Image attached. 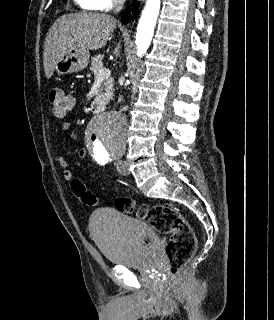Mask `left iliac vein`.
Masks as SVG:
<instances>
[{"mask_svg":"<svg viewBox=\"0 0 274 320\" xmlns=\"http://www.w3.org/2000/svg\"><path fill=\"white\" fill-rule=\"evenodd\" d=\"M115 165H116L117 171L121 175H124V176L129 175V171H128L127 164L125 161H118L115 163Z\"/></svg>","mask_w":274,"mask_h":320,"instance_id":"1","label":"left iliac vein"}]
</instances>
